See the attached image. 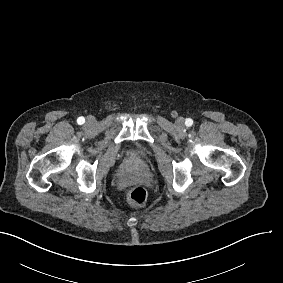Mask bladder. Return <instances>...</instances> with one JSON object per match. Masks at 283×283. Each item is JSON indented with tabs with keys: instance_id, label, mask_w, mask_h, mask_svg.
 Instances as JSON below:
<instances>
[{
	"instance_id": "1",
	"label": "bladder",
	"mask_w": 283,
	"mask_h": 283,
	"mask_svg": "<svg viewBox=\"0 0 283 283\" xmlns=\"http://www.w3.org/2000/svg\"><path fill=\"white\" fill-rule=\"evenodd\" d=\"M134 156H136L139 159H145L148 156L149 150L147 148H137L133 147L131 149Z\"/></svg>"
}]
</instances>
